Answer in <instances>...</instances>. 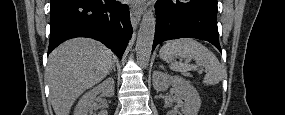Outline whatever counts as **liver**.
<instances>
[{
	"instance_id": "liver-1",
	"label": "liver",
	"mask_w": 285,
	"mask_h": 115,
	"mask_svg": "<svg viewBox=\"0 0 285 115\" xmlns=\"http://www.w3.org/2000/svg\"><path fill=\"white\" fill-rule=\"evenodd\" d=\"M112 66V52L95 40L75 38L58 46L46 69L55 114L69 115L75 100L103 80Z\"/></svg>"
}]
</instances>
